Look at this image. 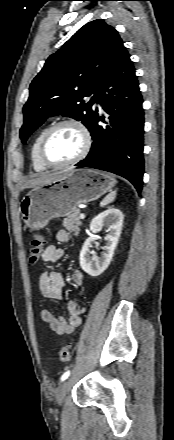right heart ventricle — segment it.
Returning <instances> with one entry per match:
<instances>
[{"mask_svg":"<svg viewBox=\"0 0 174 440\" xmlns=\"http://www.w3.org/2000/svg\"><path fill=\"white\" fill-rule=\"evenodd\" d=\"M49 128L48 125L42 127L34 136L32 139L31 145H30V161L32 164L33 169L36 172H44L48 169L47 166H45L39 157V147L42 140L43 135Z\"/></svg>","mask_w":174,"mask_h":440,"instance_id":"1","label":"right heart ventricle"}]
</instances>
